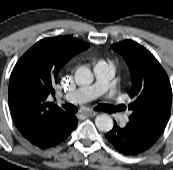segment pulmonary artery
Here are the masks:
<instances>
[{"instance_id": "e3ab8cb5", "label": "pulmonary artery", "mask_w": 173, "mask_h": 170, "mask_svg": "<svg viewBox=\"0 0 173 170\" xmlns=\"http://www.w3.org/2000/svg\"><path fill=\"white\" fill-rule=\"evenodd\" d=\"M114 74L115 70L112 66L108 65L106 62H99L95 66L94 83L70 92L69 96L72 102L84 103L106 94L110 88ZM115 117L120 121H124L127 118L126 114L123 112L115 113Z\"/></svg>"}]
</instances>
